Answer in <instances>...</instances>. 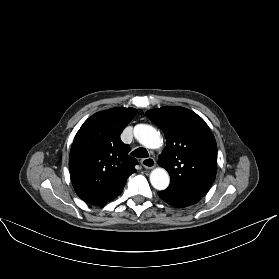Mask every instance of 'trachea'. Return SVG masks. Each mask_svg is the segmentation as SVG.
<instances>
[{"label": "trachea", "mask_w": 279, "mask_h": 279, "mask_svg": "<svg viewBox=\"0 0 279 279\" xmlns=\"http://www.w3.org/2000/svg\"><path fill=\"white\" fill-rule=\"evenodd\" d=\"M131 155L137 158H147L149 156L147 150L142 147L135 149L133 152H131Z\"/></svg>", "instance_id": "1"}]
</instances>
